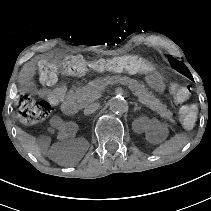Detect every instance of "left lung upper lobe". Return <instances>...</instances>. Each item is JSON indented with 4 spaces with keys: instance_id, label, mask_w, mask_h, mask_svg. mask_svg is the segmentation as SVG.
Wrapping results in <instances>:
<instances>
[{
    "instance_id": "obj_1",
    "label": "left lung upper lobe",
    "mask_w": 211,
    "mask_h": 211,
    "mask_svg": "<svg viewBox=\"0 0 211 211\" xmlns=\"http://www.w3.org/2000/svg\"><path fill=\"white\" fill-rule=\"evenodd\" d=\"M168 58H169V62L171 64L172 68L176 69L178 72L185 75L189 79H193L189 69L186 67V65L184 63L176 60L175 58H173L171 56H168Z\"/></svg>"
}]
</instances>
